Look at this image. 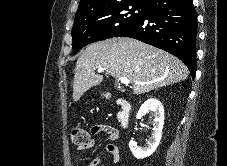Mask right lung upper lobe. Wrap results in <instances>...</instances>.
<instances>
[{"label":"right lung upper lobe","instance_id":"obj_1","mask_svg":"<svg viewBox=\"0 0 227 166\" xmlns=\"http://www.w3.org/2000/svg\"><path fill=\"white\" fill-rule=\"evenodd\" d=\"M151 1L153 0H80L76 14L128 3L147 5Z\"/></svg>","mask_w":227,"mask_h":166}]
</instances>
